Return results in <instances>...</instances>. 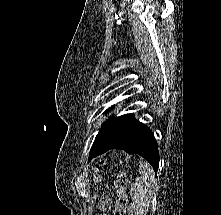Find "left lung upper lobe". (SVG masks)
<instances>
[{
  "label": "left lung upper lobe",
  "instance_id": "left-lung-upper-lobe-1",
  "mask_svg": "<svg viewBox=\"0 0 221 215\" xmlns=\"http://www.w3.org/2000/svg\"><path fill=\"white\" fill-rule=\"evenodd\" d=\"M108 110H109V109H108ZM117 118H118V117H111V118L109 119V121H107L106 123H104V125L101 127V129H100L98 135H99L101 132H103L106 128H108ZM98 135H97V136H98ZM97 136H96V137H97Z\"/></svg>",
  "mask_w": 221,
  "mask_h": 215
}]
</instances>
